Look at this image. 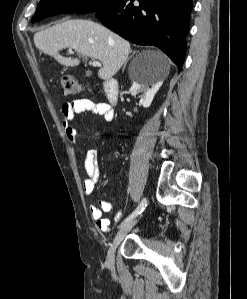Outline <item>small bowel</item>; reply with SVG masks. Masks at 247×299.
Listing matches in <instances>:
<instances>
[{
	"label": "small bowel",
	"instance_id": "obj_1",
	"mask_svg": "<svg viewBox=\"0 0 247 299\" xmlns=\"http://www.w3.org/2000/svg\"><path fill=\"white\" fill-rule=\"evenodd\" d=\"M89 112L93 115L101 116L105 121L113 119L111 107L104 102H95L93 100L82 98L70 102H65L61 107L62 125L67 138L75 143L77 140V130L72 125L74 117L78 113ZM98 152L96 149H89L83 153V166L87 177L83 181V191L86 195L94 192L95 186L100 179V171L98 167ZM112 210V204L106 200H99L98 206L91 205L89 208L90 215L95 221L96 226L103 232L110 230V220L103 216ZM123 217L121 211L116 212L114 216L115 222H119Z\"/></svg>",
	"mask_w": 247,
	"mask_h": 299
}]
</instances>
